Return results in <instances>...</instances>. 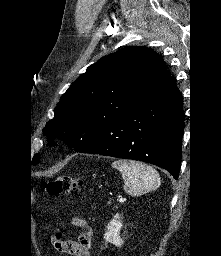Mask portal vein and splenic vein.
Instances as JSON below:
<instances>
[{
    "mask_svg": "<svg viewBox=\"0 0 221 256\" xmlns=\"http://www.w3.org/2000/svg\"><path fill=\"white\" fill-rule=\"evenodd\" d=\"M118 200H119V202H122V201H124V198L122 196H119Z\"/></svg>",
    "mask_w": 221,
    "mask_h": 256,
    "instance_id": "18ae733b",
    "label": "portal vein and splenic vein"
}]
</instances>
